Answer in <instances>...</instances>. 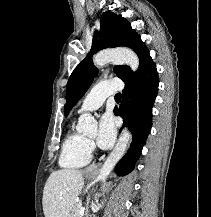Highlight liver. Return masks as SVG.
<instances>
[{
    "instance_id": "1",
    "label": "liver",
    "mask_w": 211,
    "mask_h": 217,
    "mask_svg": "<svg viewBox=\"0 0 211 217\" xmlns=\"http://www.w3.org/2000/svg\"><path fill=\"white\" fill-rule=\"evenodd\" d=\"M83 185L81 170L61 169L52 172L43 191L45 217H69Z\"/></svg>"
}]
</instances>
